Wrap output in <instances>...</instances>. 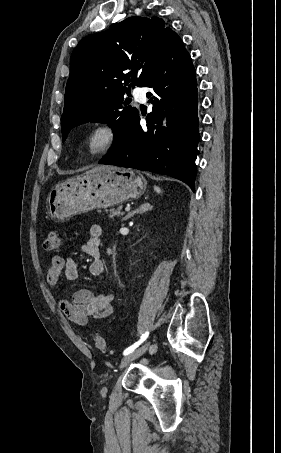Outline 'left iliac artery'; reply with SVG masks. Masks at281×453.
Wrapping results in <instances>:
<instances>
[{
    "label": "left iliac artery",
    "instance_id": "left-iliac-artery-1",
    "mask_svg": "<svg viewBox=\"0 0 281 453\" xmlns=\"http://www.w3.org/2000/svg\"><path fill=\"white\" fill-rule=\"evenodd\" d=\"M148 335H149V332H146L145 334H143V335L141 336V339H140L138 342L134 343V345L128 347V348L124 351L123 354H124V355H128V354L132 353V352H133V351H134V350H135V349H136L143 341L146 340V338L148 337Z\"/></svg>",
    "mask_w": 281,
    "mask_h": 453
}]
</instances>
